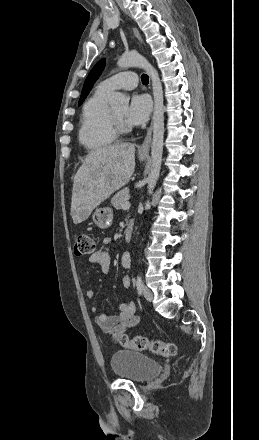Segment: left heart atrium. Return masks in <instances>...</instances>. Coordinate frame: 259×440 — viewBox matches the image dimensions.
Masks as SVG:
<instances>
[{
    "label": "left heart atrium",
    "mask_w": 259,
    "mask_h": 440,
    "mask_svg": "<svg viewBox=\"0 0 259 440\" xmlns=\"http://www.w3.org/2000/svg\"><path fill=\"white\" fill-rule=\"evenodd\" d=\"M152 103L146 94H134L125 114V121L132 126L144 124L151 113Z\"/></svg>",
    "instance_id": "obj_1"
}]
</instances>
